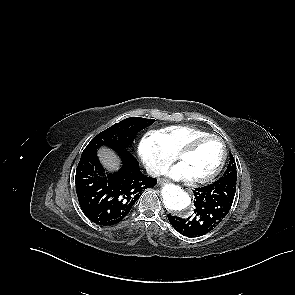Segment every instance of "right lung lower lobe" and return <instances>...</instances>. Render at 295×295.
<instances>
[{
    "label": "right lung lower lobe",
    "instance_id": "1",
    "mask_svg": "<svg viewBox=\"0 0 295 295\" xmlns=\"http://www.w3.org/2000/svg\"><path fill=\"white\" fill-rule=\"evenodd\" d=\"M122 167L105 172L96 154L80 159L75 182L79 204L86 216L102 226L122 221L144 189L156 185L155 178L143 175L139 162L128 150L118 152Z\"/></svg>",
    "mask_w": 295,
    "mask_h": 295
}]
</instances>
